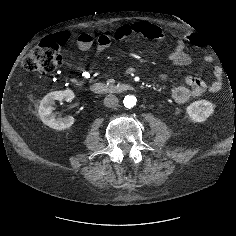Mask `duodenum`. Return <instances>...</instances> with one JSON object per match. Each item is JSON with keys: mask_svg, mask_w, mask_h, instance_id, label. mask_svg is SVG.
<instances>
[{"mask_svg": "<svg viewBox=\"0 0 236 236\" xmlns=\"http://www.w3.org/2000/svg\"><path fill=\"white\" fill-rule=\"evenodd\" d=\"M90 89L95 94H107V93H124L132 91L134 87L127 83H117L108 85L104 82L98 81L91 84Z\"/></svg>", "mask_w": 236, "mask_h": 236, "instance_id": "obj_1", "label": "duodenum"}]
</instances>
